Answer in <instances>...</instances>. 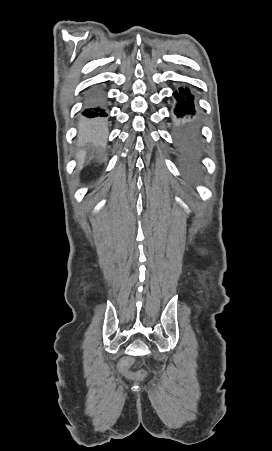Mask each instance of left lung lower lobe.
Listing matches in <instances>:
<instances>
[{
	"label": "left lung lower lobe",
	"instance_id": "1",
	"mask_svg": "<svg viewBox=\"0 0 272 451\" xmlns=\"http://www.w3.org/2000/svg\"><path fill=\"white\" fill-rule=\"evenodd\" d=\"M176 106L174 113L177 121L174 124V131L177 141V153L184 162L196 160L194 138L196 135V106L194 95L189 85L179 87L174 93Z\"/></svg>",
	"mask_w": 272,
	"mask_h": 451
}]
</instances>
